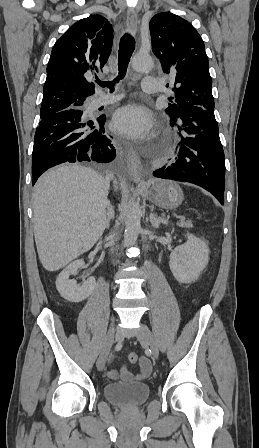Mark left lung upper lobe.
Listing matches in <instances>:
<instances>
[{"instance_id":"left-lung-upper-lobe-1","label":"left lung upper lobe","mask_w":259,"mask_h":448,"mask_svg":"<svg viewBox=\"0 0 259 448\" xmlns=\"http://www.w3.org/2000/svg\"><path fill=\"white\" fill-rule=\"evenodd\" d=\"M149 26L152 50L163 72L174 73L175 95L165 112L175 118L192 106L214 110L209 61L196 29L185 19L167 12L153 16Z\"/></svg>"}]
</instances>
